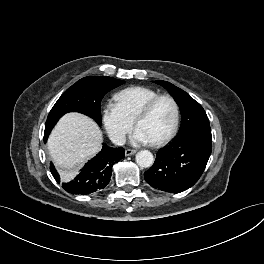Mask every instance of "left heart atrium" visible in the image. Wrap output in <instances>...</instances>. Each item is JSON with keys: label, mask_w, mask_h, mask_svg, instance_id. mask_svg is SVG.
Wrapping results in <instances>:
<instances>
[{"label": "left heart atrium", "mask_w": 264, "mask_h": 264, "mask_svg": "<svg viewBox=\"0 0 264 264\" xmlns=\"http://www.w3.org/2000/svg\"><path fill=\"white\" fill-rule=\"evenodd\" d=\"M130 140L133 144L136 145L147 144L151 142L149 137L138 127L132 133Z\"/></svg>", "instance_id": "1"}]
</instances>
